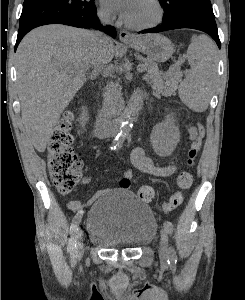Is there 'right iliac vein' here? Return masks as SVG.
Listing matches in <instances>:
<instances>
[{
  "label": "right iliac vein",
  "mask_w": 245,
  "mask_h": 300,
  "mask_svg": "<svg viewBox=\"0 0 245 300\" xmlns=\"http://www.w3.org/2000/svg\"><path fill=\"white\" fill-rule=\"evenodd\" d=\"M83 233L79 230L76 234V253L80 257L83 254Z\"/></svg>",
  "instance_id": "obj_1"
}]
</instances>
